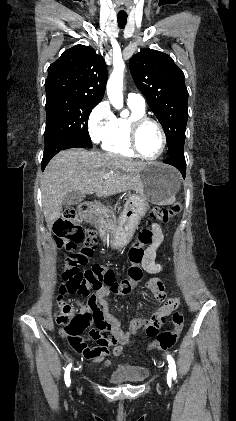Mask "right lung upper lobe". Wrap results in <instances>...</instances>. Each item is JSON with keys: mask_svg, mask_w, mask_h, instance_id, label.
Returning a JSON list of instances; mask_svg holds the SVG:
<instances>
[{"mask_svg": "<svg viewBox=\"0 0 236 421\" xmlns=\"http://www.w3.org/2000/svg\"><path fill=\"white\" fill-rule=\"evenodd\" d=\"M107 78L104 58L88 46L76 45L48 68L46 94L66 93L100 102Z\"/></svg>", "mask_w": 236, "mask_h": 421, "instance_id": "obj_1", "label": "right lung upper lobe"}]
</instances>
